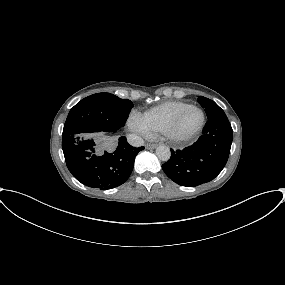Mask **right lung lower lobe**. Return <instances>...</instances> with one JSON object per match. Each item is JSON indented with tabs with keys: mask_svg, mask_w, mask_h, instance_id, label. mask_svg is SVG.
<instances>
[{
	"mask_svg": "<svg viewBox=\"0 0 285 285\" xmlns=\"http://www.w3.org/2000/svg\"><path fill=\"white\" fill-rule=\"evenodd\" d=\"M62 148L71 174L82 184L101 190L123 184L133 170L136 155L144 149L130 146L122 136L113 151H106L97 137L85 134L63 138Z\"/></svg>",
	"mask_w": 285,
	"mask_h": 285,
	"instance_id": "98d812e1",
	"label": "right lung lower lobe"
}]
</instances>
